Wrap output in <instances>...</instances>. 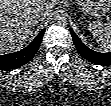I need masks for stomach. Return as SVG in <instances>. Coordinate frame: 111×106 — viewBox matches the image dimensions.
Returning <instances> with one entry per match:
<instances>
[{
	"mask_svg": "<svg viewBox=\"0 0 111 106\" xmlns=\"http://www.w3.org/2000/svg\"><path fill=\"white\" fill-rule=\"evenodd\" d=\"M79 5L85 13L101 17L111 8V0H83Z\"/></svg>",
	"mask_w": 111,
	"mask_h": 106,
	"instance_id": "0dacf381",
	"label": "stomach"
}]
</instances>
